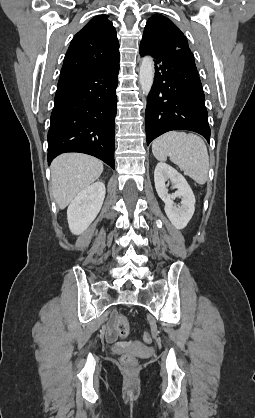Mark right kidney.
Listing matches in <instances>:
<instances>
[{
	"mask_svg": "<svg viewBox=\"0 0 255 418\" xmlns=\"http://www.w3.org/2000/svg\"><path fill=\"white\" fill-rule=\"evenodd\" d=\"M105 185L97 181L77 194L67 209V220L70 231L79 235L83 233L98 215L104 198Z\"/></svg>",
	"mask_w": 255,
	"mask_h": 418,
	"instance_id": "ca27d5eb",
	"label": "right kidney"
}]
</instances>
